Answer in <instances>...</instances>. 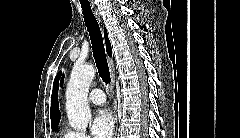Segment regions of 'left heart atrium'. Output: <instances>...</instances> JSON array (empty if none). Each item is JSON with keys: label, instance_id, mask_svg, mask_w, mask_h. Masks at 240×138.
I'll use <instances>...</instances> for the list:
<instances>
[{"label": "left heart atrium", "instance_id": "39dd6f15", "mask_svg": "<svg viewBox=\"0 0 240 138\" xmlns=\"http://www.w3.org/2000/svg\"><path fill=\"white\" fill-rule=\"evenodd\" d=\"M114 127L111 114L101 109L95 114L91 123V132L95 138H109Z\"/></svg>", "mask_w": 240, "mask_h": 138}]
</instances>
